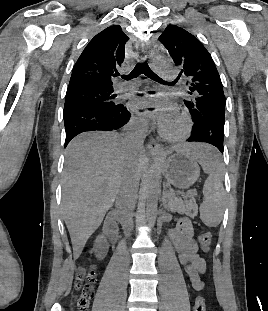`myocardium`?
Masks as SVG:
<instances>
[{
  "instance_id": "obj_1",
  "label": "myocardium",
  "mask_w": 268,
  "mask_h": 311,
  "mask_svg": "<svg viewBox=\"0 0 268 311\" xmlns=\"http://www.w3.org/2000/svg\"><path fill=\"white\" fill-rule=\"evenodd\" d=\"M176 118L180 123V130L177 133L168 132L163 125L159 126L158 132L163 139L173 143H180L190 135L191 120L188 114L184 112L178 113Z\"/></svg>"
}]
</instances>
